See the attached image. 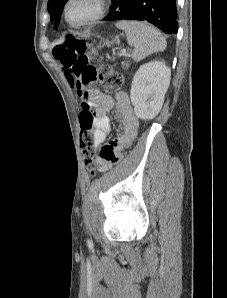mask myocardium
<instances>
[{
    "label": "myocardium",
    "instance_id": "myocardium-1",
    "mask_svg": "<svg viewBox=\"0 0 227 298\" xmlns=\"http://www.w3.org/2000/svg\"><path fill=\"white\" fill-rule=\"evenodd\" d=\"M71 2H72V0H67L65 7H64V16H65L66 21L71 26H74V27H81V26L89 25L91 23L96 22L97 20H99L100 18H102L104 16L106 9H107V0H96L97 10H96L95 14L80 23H74L71 21V19L69 17V6H70Z\"/></svg>",
    "mask_w": 227,
    "mask_h": 298
}]
</instances>
